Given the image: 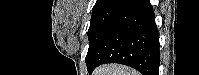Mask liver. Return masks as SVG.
<instances>
[{"instance_id": "1", "label": "liver", "mask_w": 199, "mask_h": 75, "mask_svg": "<svg viewBox=\"0 0 199 75\" xmlns=\"http://www.w3.org/2000/svg\"><path fill=\"white\" fill-rule=\"evenodd\" d=\"M92 75H140L139 72L127 66L118 64H105L98 67Z\"/></svg>"}]
</instances>
